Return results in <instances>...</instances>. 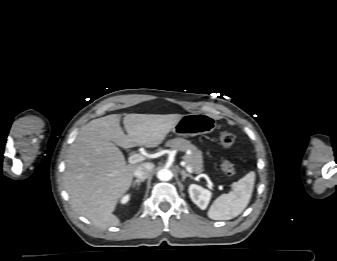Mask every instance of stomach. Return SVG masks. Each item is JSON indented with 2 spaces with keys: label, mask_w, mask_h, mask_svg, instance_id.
<instances>
[{
  "label": "stomach",
  "mask_w": 337,
  "mask_h": 261,
  "mask_svg": "<svg viewBox=\"0 0 337 261\" xmlns=\"http://www.w3.org/2000/svg\"><path fill=\"white\" fill-rule=\"evenodd\" d=\"M216 128L215 120L205 113H191L182 115L172 129L179 136H197L207 134Z\"/></svg>",
  "instance_id": "1"
}]
</instances>
